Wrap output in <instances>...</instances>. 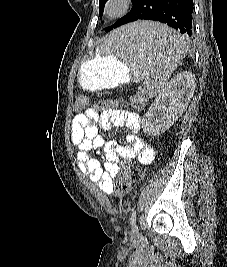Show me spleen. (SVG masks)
I'll use <instances>...</instances> for the list:
<instances>
[{"label":"spleen","mask_w":227,"mask_h":267,"mask_svg":"<svg viewBox=\"0 0 227 267\" xmlns=\"http://www.w3.org/2000/svg\"><path fill=\"white\" fill-rule=\"evenodd\" d=\"M100 41L105 42H96V47H104L103 55L140 63L139 72L125 76V81H145L151 95L164 86L188 49L184 38L158 19H133Z\"/></svg>","instance_id":"1"}]
</instances>
